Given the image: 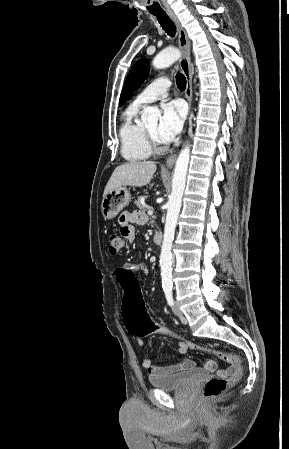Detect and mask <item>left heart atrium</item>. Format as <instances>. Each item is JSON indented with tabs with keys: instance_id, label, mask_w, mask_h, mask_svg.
Here are the masks:
<instances>
[{
	"instance_id": "1",
	"label": "left heart atrium",
	"mask_w": 289,
	"mask_h": 449,
	"mask_svg": "<svg viewBox=\"0 0 289 449\" xmlns=\"http://www.w3.org/2000/svg\"><path fill=\"white\" fill-rule=\"evenodd\" d=\"M161 111L158 137L163 143H171L182 129L185 110L181 103L172 101L162 104Z\"/></svg>"
}]
</instances>
